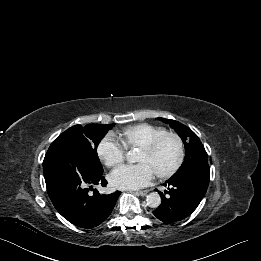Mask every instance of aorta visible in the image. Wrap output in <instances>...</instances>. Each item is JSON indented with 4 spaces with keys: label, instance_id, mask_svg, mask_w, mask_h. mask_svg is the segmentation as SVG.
Segmentation results:
<instances>
[{
    "label": "aorta",
    "instance_id": "obj_1",
    "mask_svg": "<svg viewBox=\"0 0 261 261\" xmlns=\"http://www.w3.org/2000/svg\"><path fill=\"white\" fill-rule=\"evenodd\" d=\"M126 158L128 161L133 160L132 153L129 152L126 154ZM147 205L151 208H158L161 204V197L157 192H151L146 196Z\"/></svg>",
    "mask_w": 261,
    "mask_h": 261
}]
</instances>
